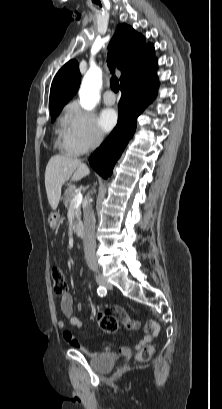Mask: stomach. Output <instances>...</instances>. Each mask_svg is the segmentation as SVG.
I'll return each instance as SVG.
<instances>
[{"mask_svg": "<svg viewBox=\"0 0 222 409\" xmlns=\"http://www.w3.org/2000/svg\"><path fill=\"white\" fill-rule=\"evenodd\" d=\"M58 218H59L58 215H54V216H52V217L49 218V223H50V225H51L52 227H55V226L57 225V223H58Z\"/></svg>", "mask_w": 222, "mask_h": 409, "instance_id": "stomach-1", "label": "stomach"}]
</instances>
